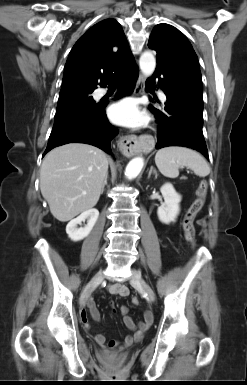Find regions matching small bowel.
<instances>
[{
	"instance_id": "obj_1",
	"label": "small bowel",
	"mask_w": 247,
	"mask_h": 385,
	"mask_svg": "<svg viewBox=\"0 0 247 385\" xmlns=\"http://www.w3.org/2000/svg\"><path fill=\"white\" fill-rule=\"evenodd\" d=\"M107 292L110 296L125 297L129 295V288L125 284L115 283L107 286ZM111 305L113 307L112 303ZM120 312L123 315L124 324L130 331L133 332V334L127 336L123 343L112 341L111 345L116 347L118 351H123L134 341L138 340L142 336L143 332L151 326L153 323V314L151 311H145L143 321L136 323L129 314V310L126 306H121ZM88 314L95 320L100 319V313L96 307L95 299L90 295L85 306L80 311V320L86 330L91 329V325L88 321ZM94 340L100 347H104L106 343L105 336L99 333L94 335Z\"/></svg>"
}]
</instances>
